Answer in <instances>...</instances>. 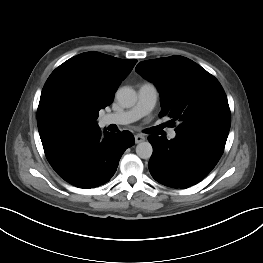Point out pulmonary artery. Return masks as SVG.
Instances as JSON below:
<instances>
[{
	"label": "pulmonary artery",
	"instance_id": "e3ab8cb5",
	"mask_svg": "<svg viewBox=\"0 0 263 263\" xmlns=\"http://www.w3.org/2000/svg\"><path fill=\"white\" fill-rule=\"evenodd\" d=\"M157 98L158 91L156 86L148 82L143 83L138 89V99L132 108L106 114L102 117V122L105 125H126L137 121L152 111L156 104ZM168 135L169 138L174 139L176 137V132L174 130H170Z\"/></svg>",
	"mask_w": 263,
	"mask_h": 263
}]
</instances>
